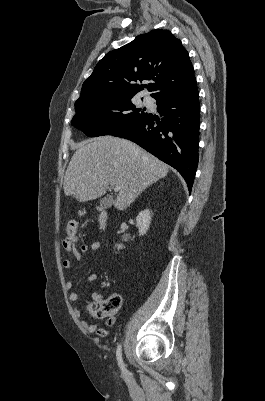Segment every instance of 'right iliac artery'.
Listing matches in <instances>:
<instances>
[{"mask_svg":"<svg viewBox=\"0 0 265 401\" xmlns=\"http://www.w3.org/2000/svg\"><path fill=\"white\" fill-rule=\"evenodd\" d=\"M116 357H117L118 365L121 368L122 372L124 374H127V369H126L125 364H124L123 359H122V346H121V344H119L118 347H117Z\"/></svg>","mask_w":265,"mask_h":401,"instance_id":"obj_1","label":"right iliac artery"}]
</instances>
